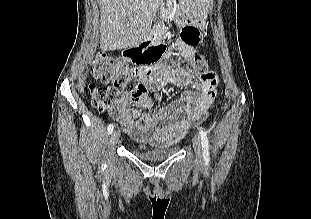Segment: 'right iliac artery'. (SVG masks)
Segmentation results:
<instances>
[{"label": "right iliac artery", "mask_w": 311, "mask_h": 219, "mask_svg": "<svg viewBox=\"0 0 311 219\" xmlns=\"http://www.w3.org/2000/svg\"><path fill=\"white\" fill-rule=\"evenodd\" d=\"M113 129H114V125H113V124H110V125L108 126V128H107L108 134L111 133V132L113 131Z\"/></svg>", "instance_id": "82829eb1"}]
</instances>
